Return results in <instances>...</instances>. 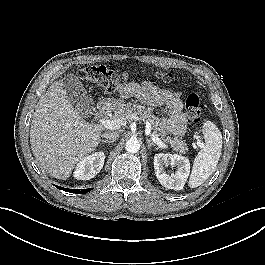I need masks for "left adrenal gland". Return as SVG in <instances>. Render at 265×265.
<instances>
[{"mask_svg": "<svg viewBox=\"0 0 265 265\" xmlns=\"http://www.w3.org/2000/svg\"><path fill=\"white\" fill-rule=\"evenodd\" d=\"M147 143H148V149H150L152 146H156L155 143H153L150 139H146ZM157 149H159L160 147L159 146H156Z\"/></svg>", "mask_w": 265, "mask_h": 265, "instance_id": "left-adrenal-gland-1", "label": "left adrenal gland"}]
</instances>
